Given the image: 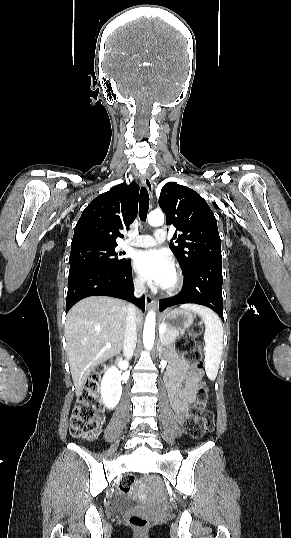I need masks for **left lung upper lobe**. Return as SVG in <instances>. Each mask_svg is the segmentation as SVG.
Wrapping results in <instances>:
<instances>
[{
	"mask_svg": "<svg viewBox=\"0 0 291 538\" xmlns=\"http://www.w3.org/2000/svg\"><path fill=\"white\" fill-rule=\"evenodd\" d=\"M159 205L166 214V224L182 232L174 234L172 240L175 239L177 244L170 243L169 247L183 274L196 264L222 260L216 218L196 191L168 182L161 189Z\"/></svg>",
	"mask_w": 291,
	"mask_h": 538,
	"instance_id": "1",
	"label": "left lung upper lobe"
}]
</instances>
